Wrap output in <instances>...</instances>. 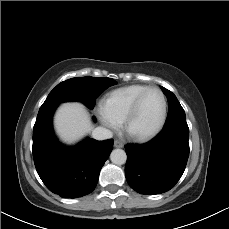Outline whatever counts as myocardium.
Masks as SVG:
<instances>
[{
  "label": "myocardium",
  "instance_id": "1",
  "mask_svg": "<svg viewBox=\"0 0 229 229\" xmlns=\"http://www.w3.org/2000/svg\"><path fill=\"white\" fill-rule=\"evenodd\" d=\"M152 91L158 92L162 97L163 108H162L160 120L152 130L145 132V133H140V134L134 133L130 129L131 123H132V121H133V119H134V117L138 111V108L140 106L141 101L149 92H152ZM167 111H168L167 99H166L164 93L162 92V90H160L157 87H150V88L146 89L145 91L140 93L135 98V100L133 101V103L131 104V106L127 112L125 119L123 120V132H124V134L128 138L135 140V141H146V140H149V139L155 137L156 135H158L161 132V130L163 129V127L165 125V122L167 119Z\"/></svg>",
  "mask_w": 229,
  "mask_h": 229
}]
</instances>
